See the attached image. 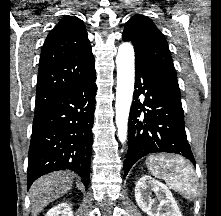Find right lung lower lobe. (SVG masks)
I'll list each match as a JSON object with an SVG mask.
<instances>
[{
    "label": "right lung lower lobe",
    "instance_id": "98d812e1",
    "mask_svg": "<svg viewBox=\"0 0 221 216\" xmlns=\"http://www.w3.org/2000/svg\"><path fill=\"white\" fill-rule=\"evenodd\" d=\"M95 80L94 74L35 110L28 154V189L42 175L61 169L75 171L88 188Z\"/></svg>",
    "mask_w": 221,
    "mask_h": 216
}]
</instances>
